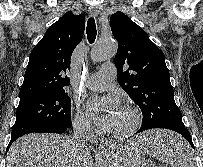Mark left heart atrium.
Returning <instances> with one entry per match:
<instances>
[{
  "label": "left heart atrium",
  "mask_w": 203,
  "mask_h": 167,
  "mask_svg": "<svg viewBox=\"0 0 203 167\" xmlns=\"http://www.w3.org/2000/svg\"><path fill=\"white\" fill-rule=\"evenodd\" d=\"M88 108L95 116L97 123L104 129H110L114 117L119 113L110 108L106 109L105 104L97 97L89 100Z\"/></svg>",
  "instance_id": "left-heart-atrium-1"
}]
</instances>
